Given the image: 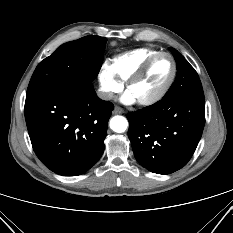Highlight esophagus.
Masks as SVG:
<instances>
[{"mask_svg": "<svg viewBox=\"0 0 233 233\" xmlns=\"http://www.w3.org/2000/svg\"><path fill=\"white\" fill-rule=\"evenodd\" d=\"M124 110L121 107L115 106L113 110V114H122Z\"/></svg>", "mask_w": 233, "mask_h": 233, "instance_id": "1", "label": "esophagus"}]
</instances>
